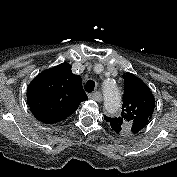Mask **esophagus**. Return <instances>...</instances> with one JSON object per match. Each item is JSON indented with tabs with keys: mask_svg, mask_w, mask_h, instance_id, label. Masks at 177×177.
Masks as SVG:
<instances>
[{
	"mask_svg": "<svg viewBox=\"0 0 177 177\" xmlns=\"http://www.w3.org/2000/svg\"><path fill=\"white\" fill-rule=\"evenodd\" d=\"M90 98H92L93 100L98 101V102L102 101V99H103L102 94L99 91L93 92L90 95Z\"/></svg>",
	"mask_w": 177,
	"mask_h": 177,
	"instance_id": "34e87169",
	"label": "esophagus"
}]
</instances>
